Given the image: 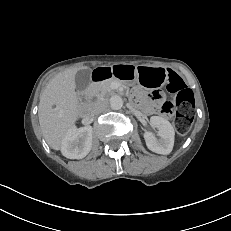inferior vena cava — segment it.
Masks as SVG:
<instances>
[{"instance_id":"obj_1","label":"inferior vena cava","mask_w":231,"mask_h":231,"mask_svg":"<svg viewBox=\"0 0 231 231\" xmlns=\"http://www.w3.org/2000/svg\"><path fill=\"white\" fill-rule=\"evenodd\" d=\"M105 108H106V103L105 102H99L93 108L92 114L93 115H98L101 112H103Z\"/></svg>"}]
</instances>
